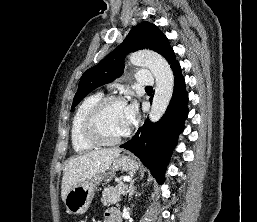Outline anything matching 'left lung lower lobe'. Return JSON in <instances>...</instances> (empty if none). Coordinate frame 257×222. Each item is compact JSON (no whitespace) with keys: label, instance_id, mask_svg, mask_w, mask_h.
I'll list each match as a JSON object with an SVG mask.
<instances>
[{"label":"left lung lower lobe","instance_id":"left-lung-lower-lobe-1","mask_svg":"<svg viewBox=\"0 0 257 222\" xmlns=\"http://www.w3.org/2000/svg\"><path fill=\"white\" fill-rule=\"evenodd\" d=\"M170 67L174 73V92L165 114L156 123L147 120L131 140L120 145L134 153L160 184L164 181L166 166L188 116V94L181 67L176 60Z\"/></svg>","mask_w":257,"mask_h":222}]
</instances>
